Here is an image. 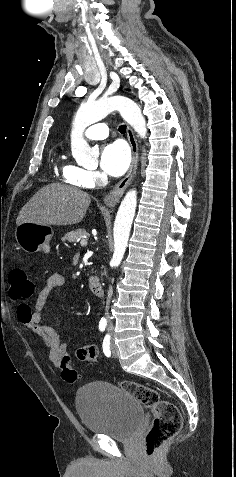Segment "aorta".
Wrapping results in <instances>:
<instances>
[{"instance_id": "762f6f07", "label": "aorta", "mask_w": 236, "mask_h": 477, "mask_svg": "<svg viewBox=\"0 0 236 477\" xmlns=\"http://www.w3.org/2000/svg\"><path fill=\"white\" fill-rule=\"evenodd\" d=\"M115 110L120 112L123 119L133 127L141 138L146 137L145 118L140 107L133 100L124 96L101 98L93 103L81 105L76 113L71 133V151L77 160L87 162L97 159L98 149L88 145L83 138V132L86 127L105 118ZM136 205L137 192L132 189L122 200L114 222V253L110 262L114 267L119 266L124 256Z\"/></svg>"}]
</instances>
